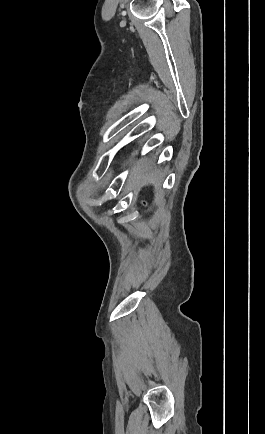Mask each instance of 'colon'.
<instances>
[{
    "instance_id": "5ec220e1",
    "label": "colon",
    "mask_w": 265,
    "mask_h": 434,
    "mask_svg": "<svg viewBox=\"0 0 265 434\" xmlns=\"http://www.w3.org/2000/svg\"><path fill=\"white\" fill-rule=\"evenodd\" d=\"M143 205L145 206V205H146V203H145V202H143Z\"/></svg>"
}]
</instances>
